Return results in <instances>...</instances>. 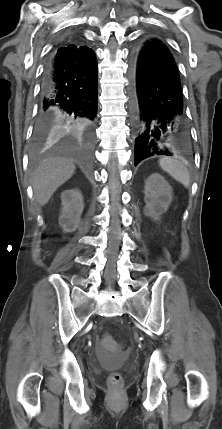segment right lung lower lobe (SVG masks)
Here are the masks:
<instances>
[{"mask_svg": "<svg viewBox=\"0 0 222 429\" xmlns=\"http://www.w3.org/2000/svg\"><path fill=\"white\" fill-rule=\"evenodd\" d=\"M97 61L62 46L50 55L43 74L35 125L89 135L97 114Z\"/></svg>", "mask_w": 222, "mask_h": 429, "instance_id": "right-lung-lower-lobe-1", "label": "right lung lower lobe"}]
</instances>
